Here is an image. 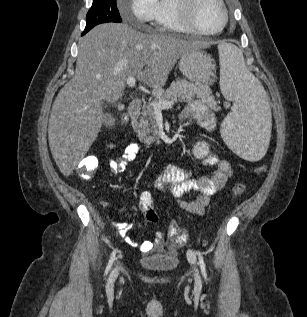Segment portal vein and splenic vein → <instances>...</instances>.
Listing matches in <instances>:
<instances>
[{
	"label": "portal vein and splenic vein",
	"mask_w": 307,
	"mask_h": 317,
	"mask_svg": "<svg viewBox=\"0 0 307 317\" xmlns=\"http://www.w3.org/2000/svg\"><path fill=\"white\" fill-rule=\"evenodd\" d=\"M126 82L129 87L134 88L136 83V78L129 77ZM150 105L154 108L155 112H161L164 109L171 108L174 105V101L173 100L160 101V102L153 101L150 103Z\"/></svg>",
	"instance_id": "portal-vein-and-splenic-vein-1"
}]
</instances>
